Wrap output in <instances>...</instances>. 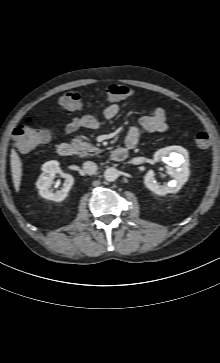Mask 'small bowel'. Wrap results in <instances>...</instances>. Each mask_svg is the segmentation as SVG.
<instances>
[{"instance_id":"small-bowel-1","label":"small bowel","mask_w":220,"mask_h":363,"mask_svg":"<svg viewBox=\"0 0 220 363\" xmlns=\"http://www.w3.org/2000/svg\"><path fill=\"white\" fill-rule=\"evenodd\" d=\"M120 111L118 103L109 104L101 115L86 112L78 118L72 119L66 126V133L71 134L79 128L95 129L103 121L115 118ZM165 112L160 107L153 108L149 114L143 116L138 124L132 126L127 133L125 144L128 148H135L140 141L143 131L161 133L167 130Z\"/></svg>"}]
</instances>
